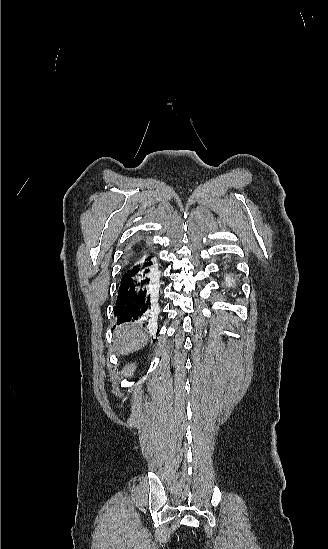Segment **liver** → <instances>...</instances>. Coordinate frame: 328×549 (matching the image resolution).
<instances>
[{
	"mask_svg": "<svg viewBox=\"0 0 328 549\" xmlns=\"http://www.w3.org/2000/svg\"><path fill=\"white\" fill-rule=\"evenodd\" d=\"M115 345L120 355H128L145 347L148 339L134 323H124L114 331Z\"/></svg>",
	"mask_w": 328,
	"mask_h": 549,
	"instance_id": "obj_1",
	"label": "liver"
}]
</instances>
